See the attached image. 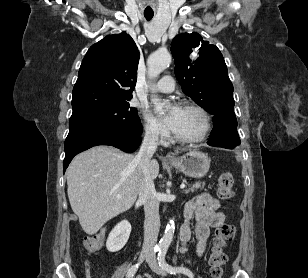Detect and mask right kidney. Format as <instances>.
<instances>
[{
	"label": "right kidney",
	"instance_id": "obj_1",
	"mask_svg": "<svg viewBox=\"0 0 308 278\" xmlns=\"http://www.w3.org/2000/svg\"><path fill=\"white\" fill-rule=\"evenodd\" d=\"M131 233V225L127 220L118 223L110 232L106 248L109 252H117L121 250L127 243Z\"/></svg>",
	"mask_w": 308,
	"mask_h": 278
}]
</instances>
